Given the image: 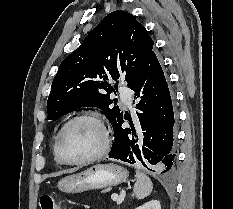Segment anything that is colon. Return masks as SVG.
I'll list each match as a JSON object with an SVG mask.
<instances>
[{
  "mask_svg": "<svg viewBox=\"0 0 233 209\" xmlns=\"http://www.w3.org/2000/svg\"><path fill=\"white\" fill-rule=\"evenodd\" d=\"M39 207L40 209H61L58 207L50 195H42L39 198Z\"/></svg>",
  "mask_w": 233,
  "mask_h": 209,
  "instance_id": "5ec220e1",
  "label": "colon"
}]
</instances>
